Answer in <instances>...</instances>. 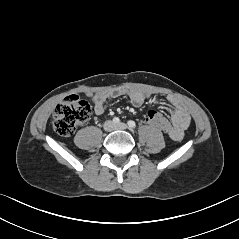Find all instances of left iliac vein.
I'll return each instance as SVG.
<instances>
[{"mask_svg": "<svg viewBox=\"0 0 239 239\" xmlns=\"http://www.w3.org/2000/svg\"><path fill=\"white\" fill-rule=\"evenodd\" d=\"M115 129L125 130L127 129V125L125 123H118L115 125Z\"/></svg>", "mask_w": 239, "mask_h": 239, "instance_id": "obj_1", "label": "left iliac vein"}]
</instances>
